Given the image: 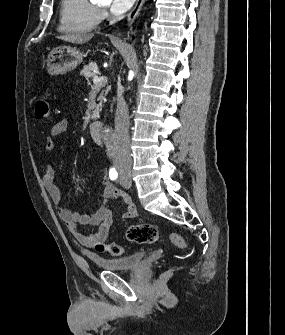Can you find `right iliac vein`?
<instances>
[{"label":"right iliac vein","instance_id":"obj_1","mask_svg":"<svg viewBox=\"0 0 285 335\" xmlns=\"http://www.w3.org/2000/svg\"><path fill=\"white\" fill-rule=\"evenodd\" d=\"M128 175H129V173H127V172L123 173V176H124V177H126V176H128Z\"/></svg>","mask_w":285,"mask_h":335}]
</instances>
